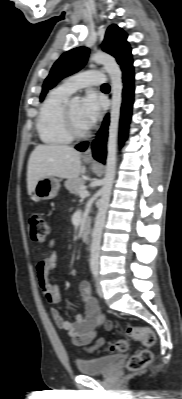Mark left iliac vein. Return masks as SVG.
<instances>
[{"label": "left iliac vein", "instance_id": "1", "mask_svg": "<svg viewBox=\"0 0 182 399\" xmlns=\"http://www.w3.org/2000/svg\"><path fill=\"white\" fill-rule=\"evenodd\" d=\"M96 291H97V295L102 298L103 295H104L103 294V289H102V286H101V284H100L98 279L96 280Z\"/></svg>", "mask_w": 182, "mask_h": 399}]
</instances>
